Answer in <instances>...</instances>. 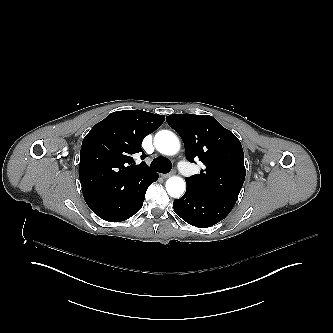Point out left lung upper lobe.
Wrapping results in <instances>:
<instances>
[{"label":"left lung upper lobe","instance_id":"5c2ea615","mask_svg":"<svg viewBox=\"0 0 333 333\" xmlns=\"http://www.w3.org/2000/svg\"><path fill=\"white\" fill-rule=\"evenodd\" d=\"M166 121L184 141L187 160L199 159L206 166L185 179L187 189L236 203L246 175L238 138L209 115L174 114Z\"/></svg>","mask_w":333,"mask_h":333}]
</instances>
